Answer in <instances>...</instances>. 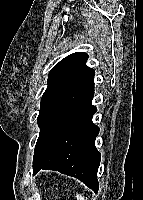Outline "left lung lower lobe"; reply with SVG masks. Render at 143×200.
Wrapping results in <instances>:
<instances>
[{"label": "left lung lower lobe", "instance_id": "1", "mask_svg": "<svg viewBox=\"0 0 143 200\" xmlns=\"http://www.w3.org/2000/svg\"><path fill=\"white\" fill-rule=\"evenodd\" d=\"M93 69L86 66L77 77L40 110L33 174L41 169L58 170L78 178L98 191L100 153L95 147L99 128L92 122L97 109Z\"/></svg>", "mask_w": 143, "mask_h": 200}]
</instances>
